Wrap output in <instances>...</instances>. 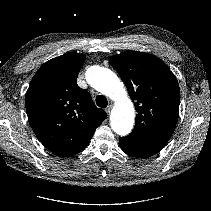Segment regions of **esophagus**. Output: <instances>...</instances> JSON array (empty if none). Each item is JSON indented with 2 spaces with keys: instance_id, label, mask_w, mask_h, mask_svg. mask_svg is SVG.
I'll return each instance as SVG.
<instances>
[{
  "instance_id": "esophagus-1",
  "label": "esophagus",
  "mask_w": 211,
  "mask_h": 211,
  "mask_svg": "<svg viewBox=\"0 0 211 211\" xmlns=\"http://www.w3.org/2000/svg\"><path fill=\"white\" fill-rule=\"evenodd\" d=\"M111 108H112L111 105L105 108V111H106L107 114H110Z\"/></svg>"
}]
</instances>
